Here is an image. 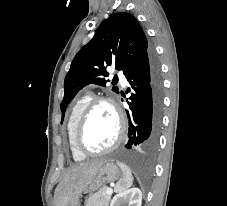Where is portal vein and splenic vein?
Wrapping results in <instances>:
<instances>
[{"instance_id": "1", "label": "portal vein and splenic vein", "mask_w": 227, "mask_h": 206, "mask_svg": "<svg viewBox=\"0 0 227 206\" xmlns=\"http://www.w3.org/2000/svg\"><path fill=\"white\" fill-rule=\"evenodd\" d=\"M107 193H108V194H112V193H113V189H112V188H108V189H107Z\"/></svg>"}]
</instances>
